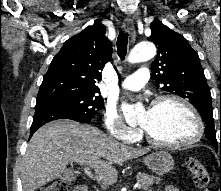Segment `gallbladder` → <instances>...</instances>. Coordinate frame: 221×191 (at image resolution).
<instances>
[{
    "label": "gallbladder",
    "instance_id": "1",
    "mask_svg": "<svg viewBox=\"0 0 221 191\" xmlns=\"http://www.w3.org/2000/svg\"><path fill=\"white\" fill-rule=\"evenodd\" d=\"M71 174V171L70 170H66L63 174H62V177H67V176H70Z\"/></svg>",
    "mask_w": 221,
    "mask_h": 191
}]
</instances>
